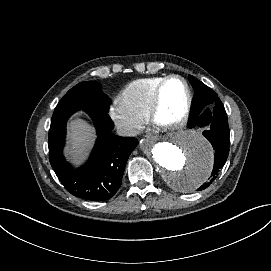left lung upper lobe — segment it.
I'll return each mask as SVG.
<instances>
[{
    "label": "left lung upper lobe",
    "mask_w": 271,
    "mask_h": 271,
    "mask_svg": "<svg viewBox=\"0 0 271 271\" xmlns=\"http://www.w3.org/2000/svg\"><path fill=\"white\" fill-rule=\"evenodd\" d=\"M188 78L194 89L191 116L197 115L204 106L220 100L217 94L204 83L192 75H189Z\"/></svg>",
    "instance_id": "obj_1"
}]
</instances>
